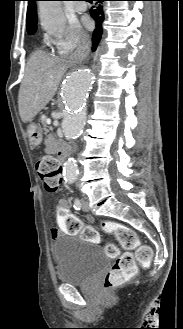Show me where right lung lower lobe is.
I'll return each instance as SVG.
<instances>
[{
  "mask_svg": "<svg viewBox=\"0 0 183 329\" xmlns=\"http://www.w3.org/2000/svg\"><path fill=\"white\" fill-rule=\"evenodd\" d=\"M94 1H96V3H99L105 0H94ZM90 14L96 22V29L94 30L92 35V42H93L92 50L95 51L101 40V36L103 33L102 23L104 21V12L102 7L98 6L96 9H91Z\"/></svg>",
  "mask_w": 183,
  "mask_h": 329,
  "instance_id": "1",
  "label": "right lung lower lobe"
}]
</instances>
